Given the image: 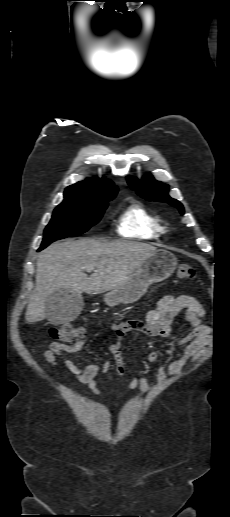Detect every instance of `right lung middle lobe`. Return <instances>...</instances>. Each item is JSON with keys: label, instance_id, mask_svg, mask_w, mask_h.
Masks as SVG:
<instances>
[{"label": "right lung middle lobe", "instance_id": "dd1d6c3e", "mask_svg": "<svg viewBox=\"0 0 230 517\" xmlns=\"http://www.w3.org/2000/svg\"><path fill=\"white\" fill-rule=\"evenodd\" d=\"M116 193L110 192L88 200H64L55 208L52 219L45 228L40 250L56 240L77 236L89 230L100 221L108 201Z\"/></svg>", "mask_w": 230, "mask_h": 517}]
</instances>
